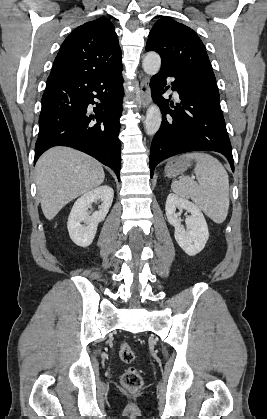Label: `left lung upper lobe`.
Here are the masks:
<instances>
[{"instance_id":"1","label":"left lung upper lobe","mask_w":267,"mask_h":419,"mask_svg":"<svg viewBox=\"0 0 267 419\" xmlns=\"http://www.w3.org/2000/svg\"><path fill=\"white\" fill-rule=\"evenodd\" d=\"M146 50L159 53L163 68L189 72L216 81L201 39L191 28L171 18H161L154 24Z\"/></svg>"}]
</instances>
